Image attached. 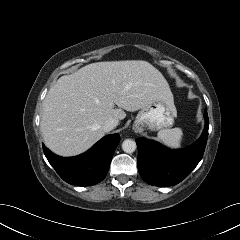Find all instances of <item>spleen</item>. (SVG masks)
<instances>
[{"label":"spleen","mask_w":240,"mask_h":240,"mask_svg":"<svg viewBox=\"0 0 240 240\" xmlns=\"http://www.w3.org/2000/svg\"><path fill=\"white\" fill-rule=\"evenodd\" d=\"M158 139L167 147L180 148L183 140L181 128L164 129L158 132Z\"/></svg>","instance_id":"obj_1"}]
</instances>
